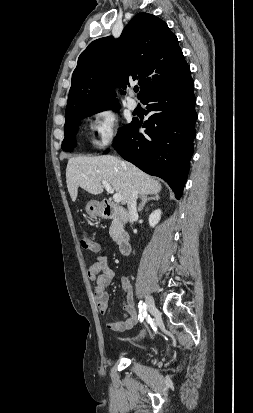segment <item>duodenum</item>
Returning a JSON list of instances; mask_svg holds the SVG:
<instances>
[{"mask_svg":"<svg viewBox=\"0 0 253 413\" xmlns=\"http://www.w3.org/2000/svg\"><path fill=\"white\" fill-rule=\"evenodd\" d=\"M100 211L105 218L116 219L125 223L128 220L127 211L111 202L103 201L100 205ZM116 243L122 255L126 256L131 251L129 236L126 233H119L116 237Z\"/></svg>","mask_w":253,"mask_h":413,"instance_id":"duodenum-1","label":"duodenum"}]
</instances>
